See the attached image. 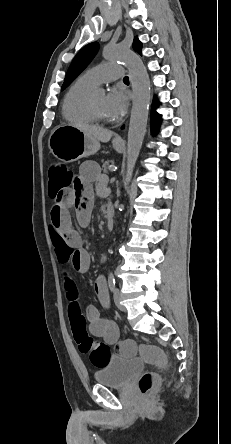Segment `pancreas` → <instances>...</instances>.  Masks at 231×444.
Listing matches in <instances>:
<instances>
[{"label":"pancreas","instance_id":"1","mask_svg":"<svg viewBox=\"0 0 231 444\" xmlns=\"http://www.w3.org/2000/svg\"><path fill=\"white\" fill-rule=\"evenodd\" d=\"M113 166L114 165L112 160H106L103 162L102 169L106 172L107 170H110Z\"/></svg>","mask_w":231,"mask_h":444}]
</instances>
